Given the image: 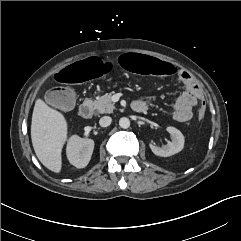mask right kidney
I'll return each instance as SVG.
<instances>
[{"mask_svg": "<svg viewBox=\"0 0 241 241\" xmlns=\"http://www.w3.org/2000/svg\"><path fill=\"white\" fill-rule=\"evenodd\" d=\"M93 149L94 141L92 139L80 138L77 135H73L67 144V158L76 168H84L91 159Z\"/></svg>", "mask_w": 241, "mask_h": 241, "instance_id": "right-kidney-1", "label": "right kidney"}]
</instances>
